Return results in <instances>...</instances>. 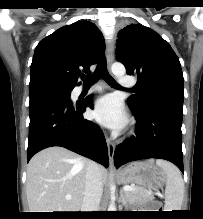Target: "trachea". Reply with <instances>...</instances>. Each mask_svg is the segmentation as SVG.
I'll return each mask as SVG.
<instances>
[{
	"mask_svg": "<svg viewBox=\"0 0 203 219\" xmlns=\"http://www.w3.org/2000/svg\"><path fill=\"white\" fill-rule=\"evenodd\" d=\"M101 76L111 87L120 88V85L109 75L105 59H102L98 63L96 70L91 75L82 76V80L84 85H93L101 78Z\"/></svg>",
	"mask_w": 203,
	"mask_h": 219,
	"instance_id": "obj_1",
	"label": "trachea"
}]
</instances>
